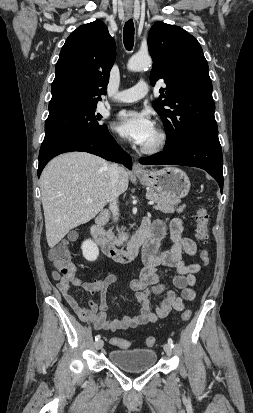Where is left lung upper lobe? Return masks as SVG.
<instances>
[{"instance_id": "1", "label": "left lung upper lobe", "mask_w": 253, "mask_h": 413, "mask_svg": "<svg viewBox=\"0 0 253 413\" xmlns=\"http://www.w3.org/2000/svg\"><path fill=\"white\" fill-rule=\"evenodd\" d=\"M148 49L153 59L151 85L161 80L166 84L153 102L166 129L165 148L194 138L219 140L208 63L197 39L179 26L156 22Z\"/></svg>"}]
</instances>
